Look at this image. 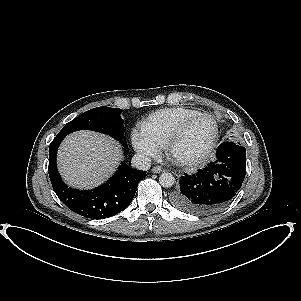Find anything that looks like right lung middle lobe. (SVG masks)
<instances>
[{
    "instance_id": "1",
    "label": "right lung middle lobe",
    "mask_w": 301,
    "mask_h": 301,
    "mask_svg": "<svg viewBox=\"0 0 301 301\" xmlns=\"http://www.w3.org/2000/svg\"><path fill=\"white\" fill-rule=\"evenodd\" d=\"M121 112L122 110L117 108H93L67 123L58 136H66L71 132L84 129L101 132L117 138L120 142H125Z\"/></svg>"
}]
</instances>
